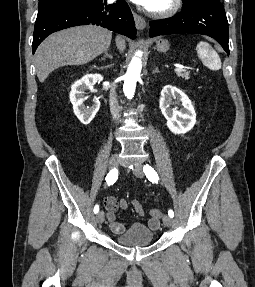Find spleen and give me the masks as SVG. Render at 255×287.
Returning a JSON list of instances; mask_svg holds the SVG:
<instances>
[{
    "mask_svg": "<svg viewBox=\"0 0 255 287\" xmlns=\"http://www.w3.org/2000/svg\"><path fill=\"white\" fill-rule=\"evenodd\" d=\"M197 50L201 52L202 60L207 68H210V70H220L221 60L217 52H215L207 42H200L199 46H197Z\"/></svg>",
    "mask_w": 255,
    "mask_h": 287,
    "instance_id": "spleen-1",
    "label": "spleen"
}]
</instances>
